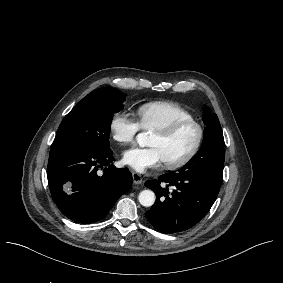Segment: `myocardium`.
<instances>
[{
  "label": "myocardium",
  "instance_id": "1",
  "mask_svg": "<svg viewBox=\"0 0 283 283\" xmlns=\"http://www.w3.org/2000/svg\"><path fill=\"white\" fill-rule=\"evenodd\" d=\"M187 125H193L196 128L197 137H196L195 144L192 147V149L189 151V153L183 159L177 162L165 163L166 168L169 170L181 169L187 166L191 161H193V159L198 155V153L200 152L202 148L204 138H205V129L203 125L194 118H182V119L175 121L173 124L168 126L166 129L156 132V134L160 138L164 140H169L173 138L180 129H182L183 127Z\"/></svg>",
  "mask_w": 283,
  "mask_h": 283
}]
</instances>
